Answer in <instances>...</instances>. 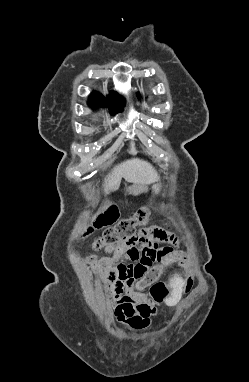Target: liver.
Masks as SVG:
<instances>
[{"label":"liver","instance_id":"6515ba94","mask_svg":"<svg viewBox=\"0 0 249 382\" xmlns=\"http://www.w3.org/2000/svg\"><path fill=\"white\" fill-rule=\"evenodd\" d=\"M122 178L134 185L145 186L158 181L160 176L147 161L138 158L129 159L115 166L105 179V194L115 191Z\"/></svg>","mask_w":249,"mask_h":382}]
</instances>
